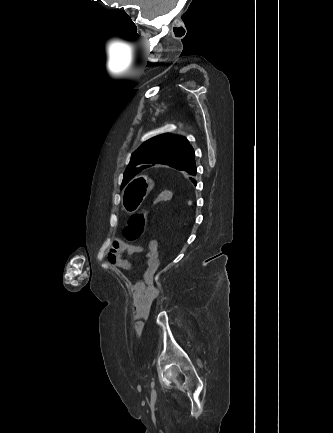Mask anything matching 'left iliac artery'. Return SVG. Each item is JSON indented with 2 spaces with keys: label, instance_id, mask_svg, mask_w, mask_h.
Masks as SVG:
<instances>
[{
  "label": "left iliac artery",
  "instance_id": "1",
  "mask_svg": "<svg viewBox=\"0 0 333 433\" xmlns=\"http://www.w3.org/2000/svg\"><path fill=\"white\" fill-rule=\"evenodd\" d=\"M151 387H152V388L154 387V381L151 382Z\"/></svg>",
  "mask_w": 333,
  "mask_h": 433
}]
</instances>
